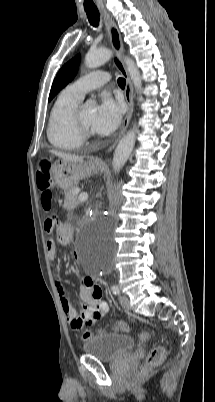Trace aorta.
Listing matches in <instances>:
<instances>
[{"instance_id":"1","label":"aorta","mask_w":215,"mask_h":402,"mask_svg":"<svg viewBox=\"0 0 215 402\" xmlns=\"http://www.w3.org/2000/svg\"><path fill=\"white\" fill-rule=\"evenodd\" d=\"M111 56L112 51L107 48H102L96 51L88 52L85 57V65L86 67L91 69L97 68L106 63L111 58ZM124 62L126 64L127 71L130 75V78L134 84L135 89L137 91H140L142 87V81L138 68L135 66L134 61L129 57H125ZM90 102L94 103V101ZM135 139H136V132L135 130L131 129L119 141L114 151L113 162H112L113 170L115 173H119L122 167L127 162L133 150ZM98 261L97 260L95 261L96 267H98L99 264ZM91 262L92 260L89 257L85 258V263L87 265L90 264Z\"/></svg>"}]
</instances>
